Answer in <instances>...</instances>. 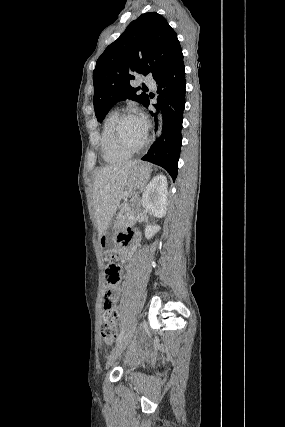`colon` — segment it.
I'll list each match as a JSON object with an SVG mask.
<instances>
[{"instance_id":"1","label":"colon","mask_w":285,"mask_h":427,"mask_svg":"<svg viewBox=\"0 0 285 427\" xmlns=\"http://www.w3.org/2000/svg\"><path fill=\"white\" fill-rule=\"evenodd\" d=\"M121 278V270L118 265L110 263L105 269L106 294L109 296L112 289L116 287ZM118 312L114 305L108 301L105 303L103 312V325L101 328V339L105 343H111L117 334Z\"/></svg>"}]
</instances>
